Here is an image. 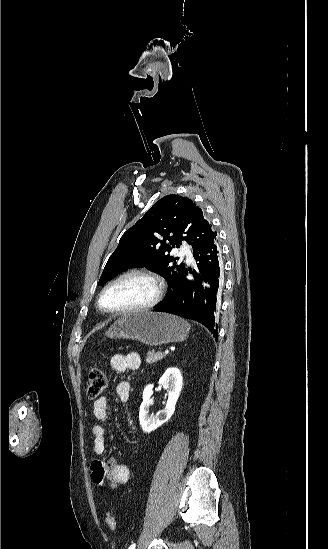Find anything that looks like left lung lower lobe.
<instances>
[{"label":"left lung lower lobe","instance_id":"1","mask_svg":"<svg viewBox=\"0 0 328 549\" xmlns=\"http://www.w3.org/2000/svg\"><path fill=\"white\" fill-rule=\"evenodd\" d=\"M214 239L193 253L196 269H184L171 292L154 311L196 320L204 324L217 340L216 317L223 288V268L220 249ZM188 271L194 279L186 278Z\"/></svg>","mask_w":328,"mask_h":549}]
</instances>
